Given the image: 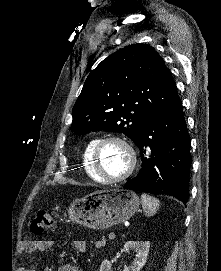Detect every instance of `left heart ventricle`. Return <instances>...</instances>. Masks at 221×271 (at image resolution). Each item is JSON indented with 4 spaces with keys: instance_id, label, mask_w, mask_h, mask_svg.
<instances>
[{
    "instance_id": "b2bd125f",
    "label": "left heart ventricle",
    "mask_w": 221,
    "mask_h": 271,
    "mask_svg": "<svg viewBox=\"0 0 221 271\" xmlns=\"http://www.w3.org/2000/svg\"><path fill=\"white\" fill-rule=\"evenodd\" d=\"M104 141H118V140H104ZM101 157L98 158V163L100 166H105V172L107 175L112 177H121L123 174V169H127L129 165H126L124 161V152H120V147L118 144H105L101 147Z\"/></svg>"
}]
</instances>
